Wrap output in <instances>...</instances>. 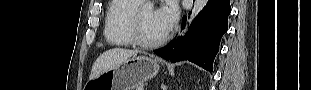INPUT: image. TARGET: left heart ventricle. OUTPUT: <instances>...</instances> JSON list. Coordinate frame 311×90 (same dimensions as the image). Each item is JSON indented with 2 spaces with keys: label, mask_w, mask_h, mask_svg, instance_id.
<instances>
[{
  "label": "left heart ventricle",
  "mask_w": 311,
  "mask_h": 90,
  "mask_svg": "<svg viewBox=\"0 0 311 90\" xmlns=\"http://www.w3.org/2000/svg\"><path fill=\"white\" fill-rule=\"evenodd\" d=\"M141 28L144 38L148 41L157 40L166 33L157 22L154 9L150 7L142 9Z\"/></svg>",
  "instance_id": "1"
}]
</instances>
